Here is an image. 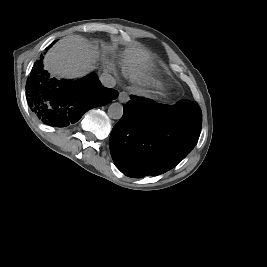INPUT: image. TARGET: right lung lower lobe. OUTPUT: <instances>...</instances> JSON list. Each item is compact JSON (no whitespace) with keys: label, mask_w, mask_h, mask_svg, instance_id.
<instances>
[{"label":"right lung lower lobe","mask_w":267,"mask_h":267,"mask_svg":"<svg viewBox=\"0 0 267 267\" xmlns=\"http://www.w3.org/2000/svg\"><path fill=\"white\" fill-rule=\"evenodd\" d=\"M26 97L30 109L44 124L66 127L88 110L116 99L118 92L102 87L95 73L74 81L52 78L43 70L41 59L28 77Z\"/></svg>","instance_id":"1"}]
</instances>
